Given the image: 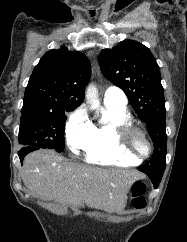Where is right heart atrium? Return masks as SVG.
I'll return each mask as SVG.
<instances>
[{
    "label": "right heart atrium",
    "mask_w": 187,
    "mask_h": 242,
    "mask_svg": "<svg viewBox=\"0 0 187 242\" xmlns=\"http://www.w3.org/2000/svg\"><path fill=\"white\" fill-rule=\"evenodd\" d=\"M66 142L69 149L79 154L89 144L92 137V123L81 108L69 117L65 128Z\"/></svg>",
    "instance_id": "obj_1"
}]
</instances>
